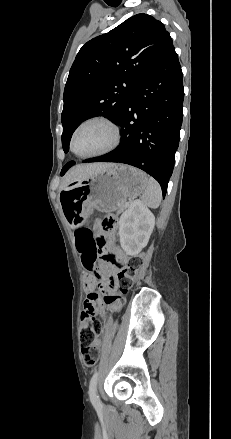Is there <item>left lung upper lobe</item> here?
I'll return each mask as SVG.
<instances>
[{"label":"left lung upper lobe","instance_id":"5c2ea615","mask_svg":"<svg viewBox=\"0 0 231 439\" xmlns=\"http://www.w3.org/2000/svg\"><path fill=\"white\" fill-rule=\"evenodd\" d=\"M171 47L172 39L164 25L144 13L88 41L78 52L64 89L61 122L65 153L73 132L83 121L105 116L116 122L136 84Z\"/></svg>","mask_w":231,"mask_h":439}]
</instances>
